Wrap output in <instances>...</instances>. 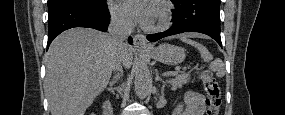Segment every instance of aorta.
Listing matches in <instances>:
<instances>
[{"label": "aorta", "instance_id": "1", "mask_svg": "<svg viewBox=\"0 0 285 115\" xmlns=\"http://www.w3.org/2000/svg\"><path fill=\"white\" fill-rule=\"evenodd\" d=\"M134 85L136 95L141 99L145 98L151 90V74L147 64L143 61L136 68Z\"/></svg>", "mask_w": 285, "mask_h": 115}]
</instances>
